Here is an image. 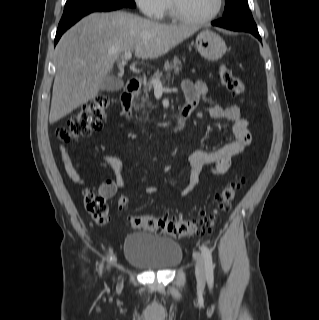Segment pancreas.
Wrapping results in <instances>:
<instances>
[{
  "mask_svg": "<svg viewBox=\"0 0 319 320\" xmlns=\"http://www.w3.org/2000/svg\"><path fill=\"white\" fill-rule=\"evenodd\" d=\"M182 68V62L178 57H174L171 62H166L164 65V69L166 72L174 71L175 73H178L179 70ZM163 76L162 72H156L154 73L153 77L149 82H144L143 85V96L140 98L141 100V107H145V105L151 107L150 97L149 93L152 90L153 87V80H160V78Z\"/></svg>",
  "mask_w": 319,
  "mask_h": 320,
  "instance_id": "pancreas-1",
  "label": "pancreas"
}]
</instances>
